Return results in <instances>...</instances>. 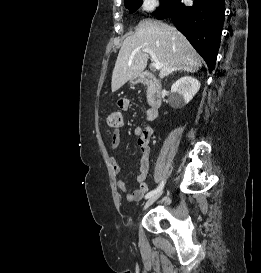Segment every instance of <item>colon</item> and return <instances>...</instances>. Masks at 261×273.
<instances>
[{
  "mask_svg": "<svg viewBox=\"0 0 261 273\" xmlns=\"http://www.w3.org/2000/svg\"><path fill=\"white\" fill-rule=\"evenodd\" d=\"M107 123L111 127H119L122 124V113L119 110L110 112L107 116Z\"/></svg>",
  "mask_w": 261,
  "mask_h": 273,
  "instance_id": "colon-1",
  "label": "colon"
}]
</instances>
